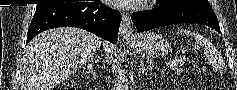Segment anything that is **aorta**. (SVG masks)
<instances>
[{"instance_id": "aorta-1", "label": "aorta", "mask_w": 237, "mask_h": 90, "mask_svg": "<svg viewBox=\"0 0 237 90\" xmlns=\"http://www.w3.org/2000/svg\"><path fill=\"white\" fill-rule=\"evenodd\" d=\"M114 90H129V82L123 72H117L114 82Z\"/></svg>"}]
</instances>
